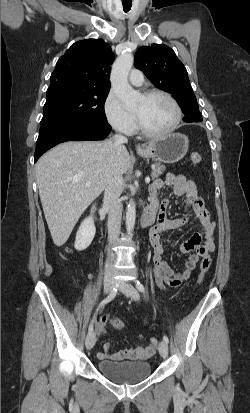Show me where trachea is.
<instances>
[{"label": "trachea", "instance_id": "obj_1", "mask_svg": "<svg viewBox=\"0 0 250 413\" xmlns=\"http://www.w3.org/2000/svg\"><path fill=\"white\" fill-rule=\"evenodd\" d=\"M132 3H123L124 12L130 11Z\"/></svg>", "mask_w": 250, "mask_h": 413}]
</instances>
